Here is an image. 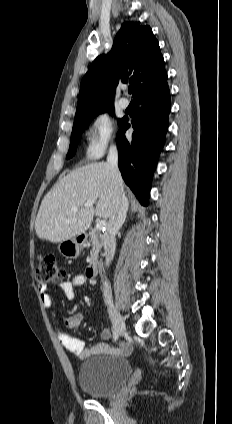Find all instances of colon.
<instances>
[{
	"instance_id": "1",
	"label": "colon",
	"mask_w": 232,
	"mask_h": 424,
	"mask_svg": "<svg viewBox=\"0 0 232 424\" xmlns=\"http://www.w3.org/2000/svg\"><path fill=\"white\" fill-rule=\"evenodd\" d=\"M66 278V271L56 260L54 254L44 253L39 256L36 279L42 285L54 284Z\"/></svg>"
}]
</instances>
